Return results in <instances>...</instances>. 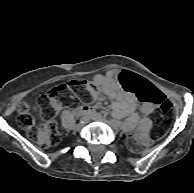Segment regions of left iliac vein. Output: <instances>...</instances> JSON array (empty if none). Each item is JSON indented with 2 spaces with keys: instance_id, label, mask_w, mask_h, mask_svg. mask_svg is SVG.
<instances>
[{
  "instance_id": "obj_1",
  "label": "left iliac vein",
  "mask_w": 194,
  "mask_h": 193,
  "mask_svg": "<svg viewBox=\"0 0 194 193\" xmlns=\"http://www.w3.org/2000/svg\"><path fill=\"white\" fill-rule=\"evenodd\" d=\"M99 120H102L103 122L108 124L110 127H112L114 130H117L120 126V122L114 119L107 120V119L99 118Z\"/></svg>"
}]
</instances>
